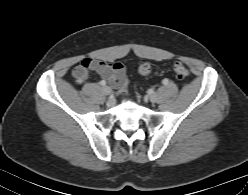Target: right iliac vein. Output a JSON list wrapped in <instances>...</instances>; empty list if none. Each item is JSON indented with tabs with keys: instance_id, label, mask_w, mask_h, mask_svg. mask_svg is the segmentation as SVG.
<instances>
[{
	"instance_id": "obj_1",
	"label": "right iliac vein",
	"mask_w": 248,
	"mask_h": 195,
	"mask_svg": "<svg viewBox=\"0 0 248 195\" xmlns=\"http://www.w3.org/2000/svg\"><path fill=\"white\" fill-rule=\"evenodd\" d=\"M102 90H103V93H104L105 95H110L111 92H112V90H111V88H110L109 86H104V87L102 88Z\"/></svg>"
}]
</instances>
